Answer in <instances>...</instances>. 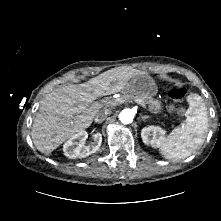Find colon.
I'll use <instances>...</instances> for the list:
<instances>
[{
  "mask_svg": "<svg viewBox=\"0 0 221 221\" xmlns=\"http://www.w3.org/2000/svg\"><path fill=\"white\" fill-rule=\"evenodd\" d=\"M186 94H187V91L183 87H173L168 92L169 98L177 102L182 101L185 98ZM182 111L183 110L180 108L179 112H182Z\"/></svg>",
  "mask_w": 221,
  "mask_h": 221,
  "instance_id": "obj_1",
  "label": "colon"
}]
</instances>
